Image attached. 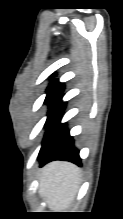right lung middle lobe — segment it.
<instances>
[{
	"mask_svg": "<svg viewBox=\"0 0 123 219\" xmlns=\"http://www.w3.org/2000/svg\"><path fill=\"white\" fill-rule=\"evenodd\" d=\"M64 85L62 83H52L47 89V97L45 102L49 103L50 110L61 99Z\"/></svg>",
	"mask_w": 123,
	"mask_h": 219,
	"instance_id": "obj_1",
	"label": "right lung middle lobe"
}]
</instances>
